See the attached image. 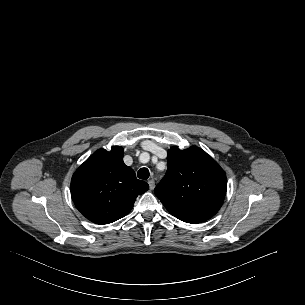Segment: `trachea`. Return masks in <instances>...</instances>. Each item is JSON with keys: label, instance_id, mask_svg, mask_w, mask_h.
I'll return each instance as SVG.
<instances>
[{"label": "trachea", "instance_id": "trachea-1", "mask_svg": "<svg viewBox=\"0 0 305 305\" xmlns=\"http://www.w3.org/2000/svg\"><path fill=\"white\" fill-rule=\"evenodd\" d=\"M137 177L143 180H146L149 178V170L147 168H141L138 173Z\"/></svg>", "mask_w": 305, "mask_h": 305}]
</instances>
